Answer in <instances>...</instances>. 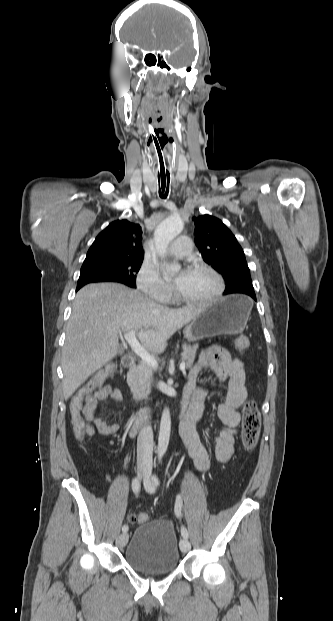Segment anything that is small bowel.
<instances>
[{
    "label": "small bowel",
    "mask_w": 333,
    "mask_h": 621,
    "mask_svg": "<svg viewBox=\"0 0 333 621\" xmlns=\"http://www.w3.org/2000/svg\"><path fill=\"white\" fill-rule=\"evenodd\" d=\"M203 369L212 370L219 380L228 382L225 401L219 405L217 410L219 418L227 426L217 434L215 439V453L219 463L228 462L233 455L237 427L241 420L239 409L247 399L244 363L229 351L218 346L203 351L187 377L186 384L192 387V403L180 427V434L187 452L200 472H206L211 467L209 454L200 443L194 425L202 414L203 404L208 395L207 387L197 384L198 376ZM110 399L121 401L123 395L117 388L101 386L85 397L81 409L85 434L92 436L98 432L109 436L119 430L118 423H107L96 415L98 403Z\"/></svg>",
    "instance_id": "obj_1"
}]
</instances>
